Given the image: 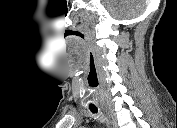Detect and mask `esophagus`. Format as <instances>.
Masks as SVG:
<instances>
[{
	"mask_svg": "<svg viewBox=\"0 0 177 128\" xmlns=\"http://www.w3.org/2000/svg\"><path fill=\"white\" fill-rule=\"evenodd\" d=\"M101 108H102V111L104 112V114L106 116V119H107V122H108L110 128H118L117 123H116L112 113L108 109V107L105 106V105H102Z\"/></svg>",
	"mask_w": 177,
	"mask_h": 128,
	"instance_id": "obj_1",
	"label": "esophagus"
}]
</instances>
